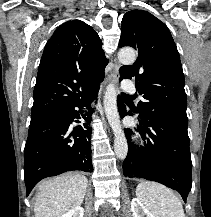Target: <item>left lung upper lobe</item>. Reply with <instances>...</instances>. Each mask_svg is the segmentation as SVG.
<instances>
[{
	"label": "left lung upper lobe",
	"mask_w": 211,
	"mask_h": 217,
	"mask_svg": "<svg viewBox=\"0 0 211 217\" xmlns=\"http://www.w3.org/2000/svg\"><path fill=\"white\" fill-rule=\"evenodd\" d=\"M124 46L138 51L136 62L119 72L121 79L136 77V88L145 99L135 108L139 118L187 130L184 74L167 26L147 11L131 10L122 19L119 47Z\"/></svg>",
	"instance_id": "1"
}]
</instances>
